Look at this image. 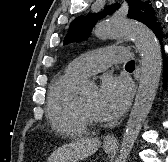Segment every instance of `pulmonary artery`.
Returning <instances> with one entry per match:
<instances>
[{
    "label": "pulmonary artery",
    "mask_w": 168,
    "mask_h": 162,
    "mask_svg": "<svg viewBox=\"0 0 168 162\" xmlns=\"http://www.w3.org/2000/svg\"><path fill=\"white\" fill-rule=\"evenodd\" d=\"M128 50L124 47L108 46L83 54L73 60L69 69L82 79L101 72L116 62L128 60Z\"/></svg>",
    "instance_id": "e3ab8cb5"
}]
</instances>
